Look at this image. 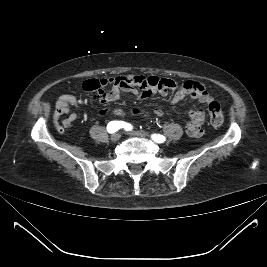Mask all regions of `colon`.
I'll list each match as a JSON object with an SVG mask.
<instances>
[{
  "mask_svg": "<svg viewBox=\"0 0 267 267\" xmlns=\"http://www.w3.org/2000/svg\"><path fill=\"white\" fill-rule=\"evenodd\" d=\"M151 87H155L157 84L155 82H149ZM208 112L210 117V122L213 126L219 127L223 123V112L221 110L220 104L216 101L209 103ZM133 113L136 115H143L145 112L139 108L133 109Z\"/></svg>",
  "mask_w": 267,
  "mask_h": 267,
  "instance_id": "obj_1",
  "label": "colon"
}]
</instances>
